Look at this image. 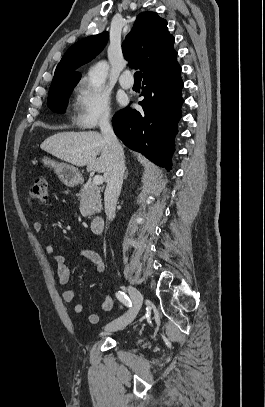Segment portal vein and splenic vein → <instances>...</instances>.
<instances>
[{
    "label": "portal vein and splenic vein",
    "mask_w": 265,
    "mask_h": 407,
    "mask_svg": "<svg viewBox=\"0 0 265 407\" xmlns=\"http://www.w3.org/2000/svg\"><path fill=\"white\" fill-rule=\"evenodd\" d=\"M93 184L102 185L103 184V177L101 175H95L94 178H93Z\"/></svg>",
    "instance_id": "obj_1"
}]
</instances>
